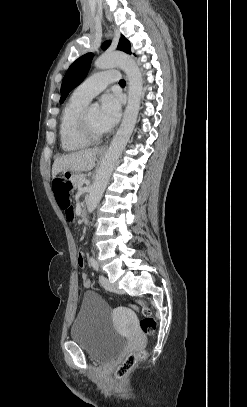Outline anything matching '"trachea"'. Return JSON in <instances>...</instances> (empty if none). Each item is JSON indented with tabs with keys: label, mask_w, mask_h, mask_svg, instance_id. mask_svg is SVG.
<instances>
[{
	"label": "trachea",
	"mask_w": 247,
	"mask_h": 407,
	"mask_svg": "<svg viewBox=\"0 0 247 407\" xmlns=\"http://www.w3.org/2000/svg\"><path fill=\"white\" fill-rule=\"evenodd\" d=\"M119 84H120V85H125L126 82H125L124 80H120V81H119Z\"/></svg>",
	"instance_id": "3493384b"
}]
</instances>
